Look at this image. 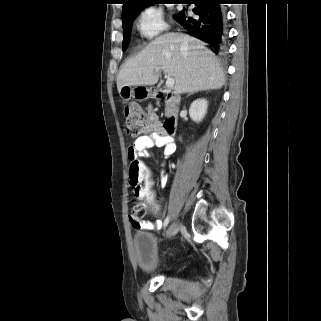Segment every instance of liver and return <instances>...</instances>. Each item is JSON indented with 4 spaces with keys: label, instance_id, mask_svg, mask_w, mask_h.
Returning <instances> with one entry per match:
<instances>
[{
    "label": "liver",
    "instance_id": "1",
    "mask_svg": "<svg viewBox=\"0 0 321 321\" xmlns=\"http://www.w3.org/2000/svg\"><path fill=\"white\" fill-rule=\"evenodd\" d=\"M161 69L174 78L176 94L221 88L225 74L220 63L202 41L179 33H167L151 41L129 59L117 77V89L151 86Z\"/></svg>",
    "mask_w": 321,
    "mask_h": 321
}]
</instances>
